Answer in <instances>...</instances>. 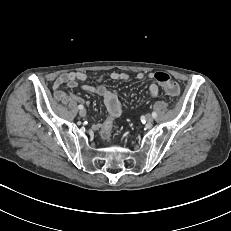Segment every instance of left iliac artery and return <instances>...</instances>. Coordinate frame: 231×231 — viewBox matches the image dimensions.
<instances>
[{"mask_svg":"<svg viewBox=\"0 0 231 231\" xmlns=\"http://www.w3.org/2000/svg\"><path fill=\"white\" fill-rule=\"evenodd\" d=\"M152 117H153V118H156V117H157L156 112H154V111L152 112Z\"/></svg>","mask_w":231,"mask_h":231,"instance_id":"44dca946","label":"left iliac artery"}]
</instances>
